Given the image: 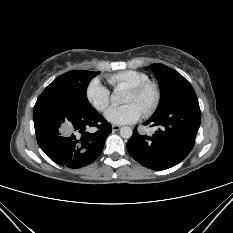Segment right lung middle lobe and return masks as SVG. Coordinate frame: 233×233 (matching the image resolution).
Here are the masks:
<instances>
[{
	"instance_id": "right-lung-middle-lobe-1",
	"label": "right lung middle lobe",
	"mask_w": 233,
	"mask_h": 233,
	"mask_svg": "<svg viewBox=\"0 0 233 233\" xmlns=\"http://www.w3.org/2000/svg\"><path fill=\"white\" fill-rule=\"evenodd\" d=\"M100 72L74 70L56 78L44 92H52L66 99L72 105L94 109L89 103L86 90L89 82Z\"/></svg>"
}]
</instances>
